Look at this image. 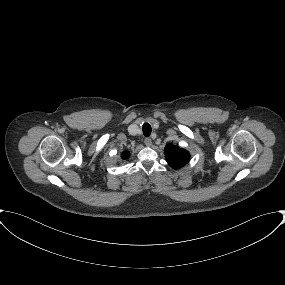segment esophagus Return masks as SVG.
<instances>
[{
  "instance_id": "34e87169",
  "label": "esophagus",
  "mask_w": 285,
  "mask_h": 285,
  "mask_svg": "<svg viewBox=\"0 0 285 285\" xmlns=\"http://www.w3.org/2000/svg\"><path fill=\"white\" fill-rule=\"evenodd\" d=\"M144 143H145V145L146 146H148V147H150L151 145H152V140H151V138H146L145 140H144Z\"/></svg>"
}]
</instances>
